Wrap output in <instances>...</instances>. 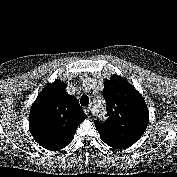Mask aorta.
<instances>
[{
	"label": "aorta",
	"instance_id": "1",
	"mask_svg": "<svg viewBox=\"0 0 177 177\" xmlns=\"http://www.w3.org/2000/svg\"><path fill=\"white\" fill-rule=\"evenodd\" d=\"M98 109H99V112L101 113V115H104L105 114V107L104 105H97Z\"/></svg>",
	"mask_w": 177,
	"mask_h": 177
}]
</instances>
